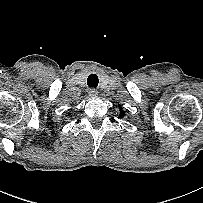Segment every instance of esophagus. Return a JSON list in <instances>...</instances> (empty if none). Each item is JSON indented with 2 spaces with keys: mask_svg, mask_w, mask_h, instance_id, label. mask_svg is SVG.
<instances>
[{
  "mask_svg": "<svg viewBox=\"0 0 203 203\" xmlns=\"http://www.w3.org/2000/svg\"><path fill=\"white\" fill-rule=\"evenodd\" d=\"M88 93L90 97H96L98 95V92L95 89H90Z\"/></svg>",
  "mask_w": 203,
  "mask_h": 203,
  "instance_id": "34e87169",
  "label": "esophagus"
}]
</instances>
